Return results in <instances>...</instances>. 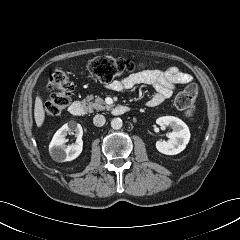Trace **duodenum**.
<instances>
[{
    "label": "duodenum",
    "mask_w": 240,
    "mask_h": 240,
    "mask_svg": "<svg viewBox=\"0 0 240 240\" xmlns=\"http://www.w3.org/2000/svg\"><path fill=\"white\" fill-rule=\"evenodd\" d=\"M129 111H130V108L128 106L117 105L112 109V114L113 115H123ZM69 112L71 115H73L75 117H81L85 113V106L81 101L76 100L71 103V105L69 107Z\"/></svg>",
    "instance_id": "410a0bca"
}]
</instances>
